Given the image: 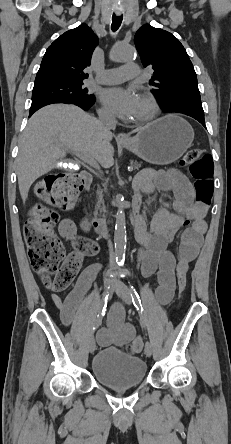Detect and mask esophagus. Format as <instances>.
Here are the masks:
<instances>
[{"label": "esophagus", "mask_w": 231, "mask_h": 444, "mask_svg": "<svg viewBox=\"0 0 231 444\" xmlns=\"http://www.w3.org/2000/svg\"><path fill=\"white\" fill-rule=\"evenodd\" d=\"M116 140L119 142H126L128 140V138L126 137L125 134L120 133L117 135Z\"/></svg>", "instance_id": "34e87169"}]
</instances>
